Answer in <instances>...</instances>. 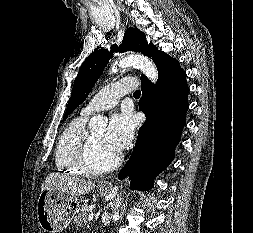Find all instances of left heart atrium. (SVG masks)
<instances>
[{
    "label": "left heart atrium",
    "mask_w": 253,
    "mask_h": 233,
    "mask_svg": "<svg viewBox=\"0 0 253 233\" xmlns=\"http://www.w3.org/2000/svg\"><path fill=\"white\" fill-rule=\"evenodd\" d=\"M133 132L134 122L130 114H114L104 134V144L111 151L119 153L130 143Z\"/></svg>",
    "instance_id": "left-heart-atrium-1"
}]
</instances>
